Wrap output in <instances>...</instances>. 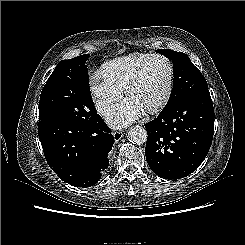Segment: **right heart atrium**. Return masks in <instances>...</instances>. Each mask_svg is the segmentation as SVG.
<instances>
[{"instance_id": "obj_1", "label": "right heart atrium", "mask_w": 245, "mask_h": 245, "mask_svg": "<svg viewBox=\"0 0 245 245\" xmlns=\"http://www.w3.org/2000/svg\"><path fill=\"white\" fill-rule=\"evenodd\" d=\"M89 83L96 109L101 114L106 113L123 95V91L109 82L101 71H94Z\"/></svg>"}]
</instances>
